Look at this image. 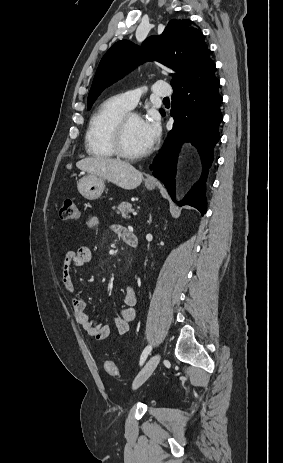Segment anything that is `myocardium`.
<instances>
[{
	"label": "myocardium",
	"instance_id": "f54148a6",
	"mask_svg": "<svg viewBox=\"0 0 283 463\" xmlns=\"http://www.w3.org/2000/svg\"><path fill=\"white\" fill-rule=\"evenodd\" d=\"M132 116L139 118V116L135 114L126 113L117 121L112 133V147L115 154L123 159L139 160L148 156L150 154V150H147L142 153H131L127 151L124 146V133L126 124L129 118Z\"/></svg>",
	"mask_w": 283,
	"mask_h": 463
}]
</instances>
